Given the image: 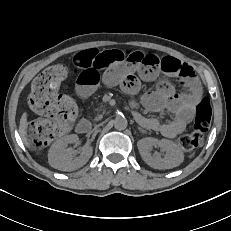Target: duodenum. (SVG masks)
<instances>
[{"instance_id": "obj_1", "label": "duodenum", "mask_w": 231, "mask_h": 231, "mask_svg": "<svg viewBox=\"0 0 231 231\" xmlns=\"http://www.w3.org/2000/svg\"><path fill=\"white\" fill-rule=\"evenodd\" d=\"M91 129V124L88 120L82 119L76 127V130L79 134H86L90 131Z\"/></svg>"}]
</instances>
